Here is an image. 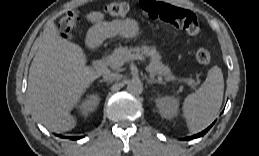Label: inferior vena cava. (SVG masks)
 <instances>
[{
	"label": "inferior vena cava",
	"instance_id": "obj_1",
	"mask_svg": "<svg viewBox=\"0 0 259 156\" xmlns=\"http://www.w3.org/2000/svg\"><path fill=\"white\" fill-rule=\"evenodd\" d=\"M103 78L108 81L120 80L122 75L117 72H106L103 74Z\"/></svg>",
	"mask_w": 259,
	"mask_h": 156
}]
</instances>
